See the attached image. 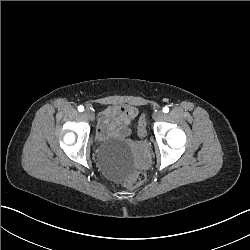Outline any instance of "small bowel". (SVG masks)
Returning a JSON list of instances; mask_svg holds the SVG:
<instances>
[{
  "label": "small bowel",
  "mask_w": 250,
  "mask_h": 250,
  "mask_svg": "<svg viewBox=\"0 0 250 250\" xmlns=\"http://www.w3.org/2000/svg\"><path fill=\"white\" fill-rule=\"evenodd\" d=\"M136 109L132 106H113L103 113L99 120L97 135L102 136L107 132L117 133L122 136L131 134V122L135 116ZM113 117L114 120L109 122L108 118Z\"/></svg>",
  "instance_id": "c3829d8e"
}]
</instances>
